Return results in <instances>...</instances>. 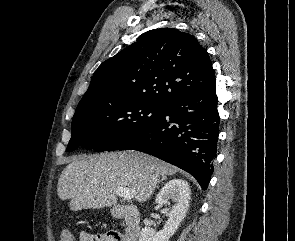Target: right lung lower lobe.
Wrapping results in <instances>:
<instances>
[{
  "instance_id": "obj_1",
  "label": "right lung lower lobe",
  "mask_w": 295,
  "mask_h": 241,
  "mask_svg": "<svg viewBox=\"0 0 295 241\" xmlns=\"http://www.w3.org/2000/svg\"><path fill=\"white\" fill-rule=\"evenodd\" d=\"M215 81L169 100L160 114L116 150L135 149L192 174L206 190L219 133Z\"/></svg>"
}]
</instances>
